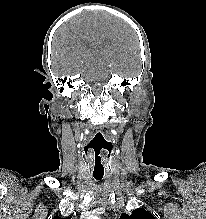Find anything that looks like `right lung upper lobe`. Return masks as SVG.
Here are the masks:
<instances>
[{
  "label": "right lung upper lobe",
  "mask_w": 206,
  "mask_h": 219,
  "mask_svg": "<svg viewBox=\"0 0 206 219\" xmlns=\"http://www.w3.org/2000/svg\"><path fill=\"white\" fill-rule=\"evenodd\" d=\"M53 219H71V217H68V218H61L59 216H54Z\"/></svg>",
  "instance_id": "cb5924a9"
}]
</instances>
